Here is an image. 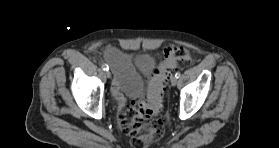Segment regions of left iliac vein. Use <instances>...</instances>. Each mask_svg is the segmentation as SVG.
Instances as JSON below:
<instances>
[{"label":"left iliac vein","mask_w":279,"mask_h":148,"mask_svg":"<svg viewBox=\"0 0 279 148\" xmlns=\"http://www.w3.org/2000/svg\"><path fill=\"white\" fill-rule=\"evenodd\" d=\"M177 82H178L177 78H176L175 76H173V77L171 78V85H172V86H176Z\"/></svg>","instance_id":"left-iliac-vein-1"}]
</instances>
